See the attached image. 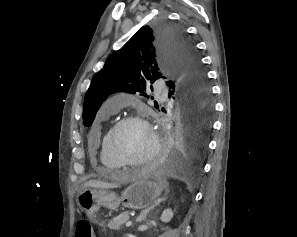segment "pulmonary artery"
Masks as SVG:
<instances>
[{
    "instance_id": "obj_1",
    "label": "pulmonary artery",
    "mask_w": 297,
    "mask_h": 237,
    "mask_svg": "<svg viewBox=\"0 0 297 237\" xmlns=\"http://www.w3.org/2000/svg\"><path fill=\"white\" fill-rule=\"evenodd\" d=\"M157 91L161 92L164 89V84L159 82L156 84ZM126 103V98L122 95H116L110 98L104 106V109L107 111H116L121 108Z\"/></svg>"
}]
</instances>
